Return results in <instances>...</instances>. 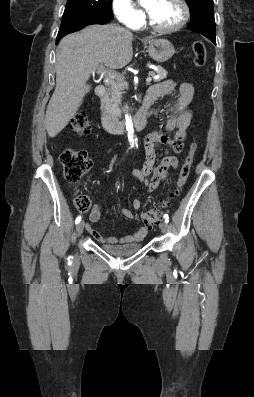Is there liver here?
Segmentation results:
<instances>
[{
  "instance_id": "obj_1",
  "label": "liver",
  "mask_w": 254,
  "mask_h": 397,
  "mask_svg": "<svg viewBox=\"0 0 254 397\" xmlns=\"http://www.w3.org/2000/svg\"><path fill=\"white\" fill-rule=\"evenodd\" d=\"M132 41L129 31L115 25H90L60 41L56 53V87L45 115L51 138L74 117L90 90L87 81L100 65L119 69L130 63Z\"/></svg>"
}]
</instances>
